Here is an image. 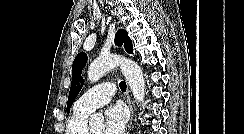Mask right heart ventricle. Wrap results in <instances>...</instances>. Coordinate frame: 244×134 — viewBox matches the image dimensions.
<instances>
[{"mask_svg":"<svg viewBox=\"0 0 244 134\" xmlns=\"http://www.w3.org/2000/svg\"><path fill=\"white\" fill-rule=\"evenodd\" d=\"M89 113L74 109L72 116L69 118L65 134H87V118Z\"/></svg>","mask_w":244,"mask_h":134,"instance_id":"e07e8e85","label":"right heart ventricle"}]
</instances>
